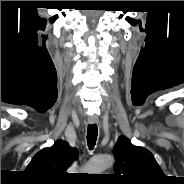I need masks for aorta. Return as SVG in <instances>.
<instances>
[{
  "instance_id": "1",
  "label": "aorta",
  "mask_w": 184,
  "mask_h": 184,
  "mask_svg": "<svg viewBox=\"0 0 184 184\" xmlns=\"http://www.w3.org/2000/svg\"><path fill=\"white\" fill-rule=\"evenodd\" d=\"M113 163V158L110 155H102L94 158L88 165L87 171L90 174H101Z\"/></svg>"
}]
</instances>
